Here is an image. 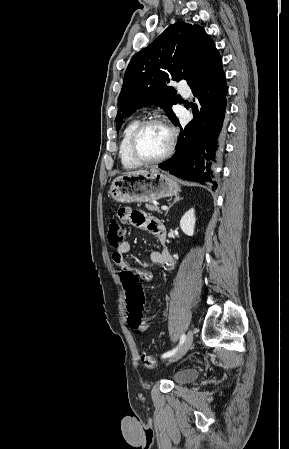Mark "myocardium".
Segmentation results:
<instances>
[{
  "mask_svg": "<svg viewBox=\"0 0 289 449\" xmlns=\"http://www.w3.org/2000/svg\"><path fill=\"white\" fill-rule=\"evenodd\" d=\"M153 124L161 125L167 130V132L169 134V144H168L166 151L161 156L154 158V159H145L138 152V148H137L138 138H139L141 132L147 126H150ZM176 141H177L176 131H175L174 127L169 123V121L163 116H153V117H150V118L140 121L139 124L134 129V131L131 135V138H130V152H131L132 157L140 164H155V163H159V162L166 160L168 157H170L172 155V153L174 152L175 146H176Z\"/></svg>",
  "mask_w": 289,
  "mask_h": 449,
  "instance_id": "f54148a6",
  "label": "myocardium"
}]
</instances>
